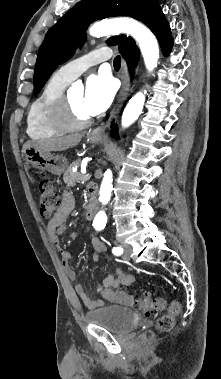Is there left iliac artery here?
<instances>
[{
  "label": "left iliac artery",
  "mask_w": 221,
  "mask_h": 379,
  "mask_svg": "<svg viewBox=\"0 0 221 379\" xmlns=\"http://www.w3.org/2000/svg\"><path fill=\"white\" fill-rule=\"evenodd\" d=\"M112 253H113L114 255L119 256V255H121V254L123 253V248H121V247H114V248L112 249Z\"/></svg>",
  "instance_id": "obj_1"
}]
</instances>
